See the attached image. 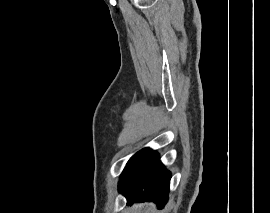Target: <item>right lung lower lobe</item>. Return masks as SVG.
<instances>
[{
    "instance_id": "98d812e1",
    "label": "right lung lower lobe",
    "mask_w": 270,
    "mask_h": 213,
    "mask_svg": "<svg viewBox=\"0 0 270 213\" xmlns=\"http://www.w3.org/2000/svg\"><path fill=\"white\" fill-rule=\"evenodd\" d=\"M171 173L151 149L136 153L127 163L120 176L119 191L125 195L128 204L153 201L163 207L168 199Z\"/></svg>"
}]
</instances>
